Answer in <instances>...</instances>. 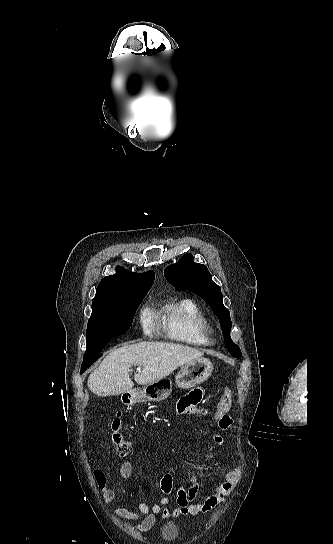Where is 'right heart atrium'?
Returning a JSON list of instances; mask_svg holds the SVG:
<instances>
[{
    "instance_id": "1",
    "label": "right heart atrium",
    "mask_w": 333,
    "mask_h": 544,
    "mask_svg": "<svg viewBox=\"0 0 333 544\" xmlns=\"http://www.w3.org/2000/svg\"><path fill=\"white\" fill-rule=\"evenodd\" d=\"M141 319H142V324H143V326H144L145 328H148V327H149V324H150V317H149L148 313H147V312H143V313H142Z\"/></svg>"
}]
</instances>
